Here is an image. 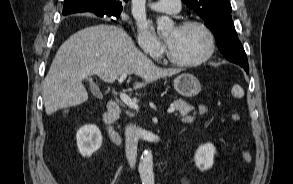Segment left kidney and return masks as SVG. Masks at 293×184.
Segmentation results:
<instances>
[{
    "instance_id": "left-kidney-1",
    "label": "left kidney",
    "mask_w": 293,
    "mask_h": 184,
    "mask_svg": "<svg viewBox=\"0 0 293 184\" xmlns=\"http://www.w3.org/2000/svg\"><path fill=\"white\" fill-rule=\"evenodd\" d=\"M215 147L211 143H206L197 149L194 155L195 165L201 170L210 169L214 163Z\"/></svg>"
}]
</instances>
